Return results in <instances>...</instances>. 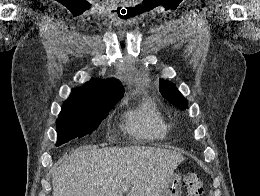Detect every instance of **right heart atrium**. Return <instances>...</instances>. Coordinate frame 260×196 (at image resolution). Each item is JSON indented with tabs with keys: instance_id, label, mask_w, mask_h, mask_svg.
<instances>
[{
	"instance_id": "obj_1",
	"label": "right heart atrium",
	"mask_w": 260,
	"mask_h": 196,
	"mask_svg": "<svg viewBox=\"0 0 260 196\" xmlns=\"http://www.w3.org/2000/svg\"><path fill=\"white\" fill-rule=\"evenodd\" d=\"M128 192H153L152 190H128Z\"/></svg>"
}]
</instances>
